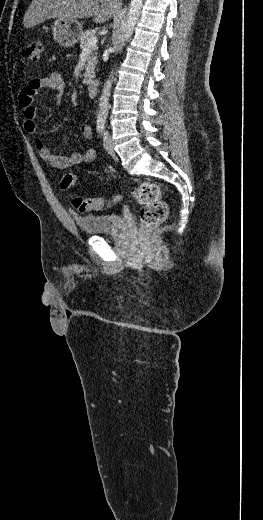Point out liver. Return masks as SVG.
Listing matches in <instances>:
<instances>
[{
	"label": "liver",
	"mask_w": 263,
	"mask_h": 520,
	"mask_svg": "<svg viewBox=\"0 0 263 520\" xmlns=\"http://www.w3.org/2000/svg\"><path fill=\"white\" fill-rule=\"evenodd\" d=\"M121 0H32L23 24L34 27L50 18L77 20L92 17L95 23L117 16Z\"/></svg>",
	"instance_id": "obj_1"
}]
</instances>
